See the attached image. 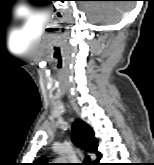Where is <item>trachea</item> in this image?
Wrapping results in <instances>:
<instances>
[{"mask_svg":"<svg viewBox=\"0 0 154 165\" xmlns=\"http://www.w3.org/2000/svg\"><path fill=\"white\" fill-rule=\"evenodd\" d=\"M81 165H91L90 157H85L84 162L81 163Z\"/></svg>","mask_w":154,"mask_h":165,"instance_id":"1","label":"trachea"}]
</instances>
